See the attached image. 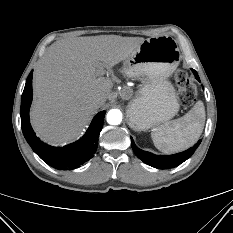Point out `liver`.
I'll return each instance as SVG.
<instances>
[{
	"label": "liver",
	"mask_w": 233,
	"mask_h": 233,
	"mask_svg": "<svg viewBox=\"0 0 233 233\" xmlns=\"http://www.w3.org/2000/svg\"><path fill=\"white\" fill-rule=\"evenodd\" d=\"M144 40L99 35L50 45L33 75L30 117L37 135L53 145L77 139L112 92L104 68L130 57Z\"/></svg>",
	"instance_id": "6515ba94"
}]
</instances>
